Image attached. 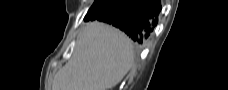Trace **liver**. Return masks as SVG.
I'll return each instance as SVG.
<instances>
[{
    "mask_svg": "<svg viewBox=\"0 0 228 90\" xmlns=\"http://www.w3.org/2000/svg\"><path fill=\"white\" fill-rule=\"evenodd\" d=\"M132 64L133 45L124 33L90 23L79 34L71 59L56 73L52 90H108Z\"/></svg>",
    "mask_w": 228,
    "mask_h": 90,
    "instance_id": "6515ba94",
    "label": "liver"
}]
</instances>
